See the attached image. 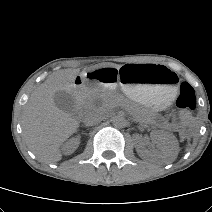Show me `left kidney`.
Segmentation results:
<instances>
[{
    "label": "left kidney",
    "mask_w": 212,
    "mask_h": 212,
    "mask_svg": "<svg viewBox=\"0 0 212 212\" xmlns=\"http://www.w3.org/2000/svg\"><path fill=\"white\" fill-rule=\"evenodd\" d=\"M151 138L155 143H157L158 153L163 162H172L175 160L179 151V146L174 135L168 132L156 130L151 133ZM136 139V150L139 156L142 158L148 157L150 153L138 135L136 136Z\"/></svg>",
    "instance_id": "obj_1"
}]
</instances>
